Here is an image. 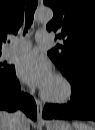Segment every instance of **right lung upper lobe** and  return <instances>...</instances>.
Segmentation results:
<instances>
[{
	"mask_svg": "<svg viewBox=\"0 0 95 130\" xmlns=\"http://www.w3.org/2000/svg\"><path fill=\"white\" fill-rule=\"evenodd\" d=\"M25 0H0V50L7 34H16L24 18ZM1 54V52H0Z\"/></svg>",
	"mask_w": 95,
	"mask_h": 130,
	"instance_id": "obj_1",
	"label": "right lung upper lobe"
}]
</instances>
